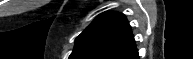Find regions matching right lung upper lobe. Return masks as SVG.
Here are the masks:
<instances>
[{
  "instance_id": "1",
  "label": "right lung upper lobe",
  "mask_w": 193,
  "mask_h": 59,
  "mask_svg": "<svg viewBox=\"0 0 193 59\" xmlns=\"http://www.w3.org/2000/svg\"><path fill=\"white\" fill-rule=\"evenodd\" d=\"M135 53V40L125 16L106 12L76 38L69 59H129Z\"/></svg>"
}]
</instances>
